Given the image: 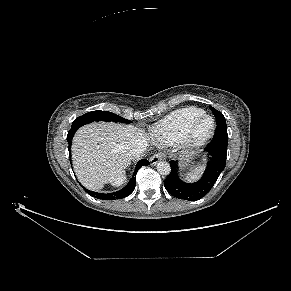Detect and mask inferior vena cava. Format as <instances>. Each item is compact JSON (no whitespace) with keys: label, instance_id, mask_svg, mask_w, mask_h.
Returning a JSON list of instances; mask_svg holds the SVG:
<instances>
[{"label":"inferior vena cava","instance_id":"inferior-vena-cava-1","mask_svg":"<svg viewBox=\"0 0 291 291\" xmlns=\"http://www.w3.org/2000/svg\"><path fill=\"white\" fill-rule=\"evenodd\" d=\"M146 141H136L131 144L128 154L132 159H138L143 156L144 152L147 149Z\"/></svg>","mask_w":291,"mask_h":291}]
</instances>
